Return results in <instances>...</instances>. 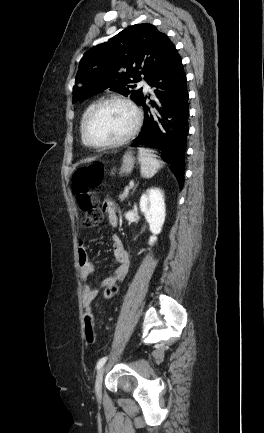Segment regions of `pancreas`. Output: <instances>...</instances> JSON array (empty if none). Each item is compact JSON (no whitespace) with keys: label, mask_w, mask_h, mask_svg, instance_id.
<instances>
[{"label":"pancreas","mask_w":264,"mask_h":433,"mask_svg":"<svg viewBox=\"0 0 264 433\" xmlns=\"http://www.w3.org/2000/svg\"><path fill=\"white\" fill-rule=\"evenodd\" d=\"M127 196H128V194H126L125 192H123V193H121V194L119 195V199H120L121 201H123L125 198H127Z\"/></svg>","instance_id":"cf45deb5"}]
</instances>
